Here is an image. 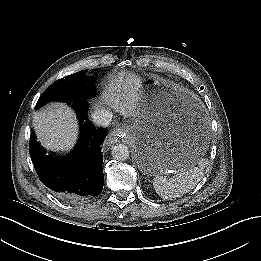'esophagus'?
Wrapping results in <instances>:
<instances>
[{
	"mask_svg": "<svg viewBox=\"0 0 261 261\" xmlns=\"http://www.w3.org/2000/svg\"><path fill=\"white\" fill-rule=\"evenodd\" d=\"M122 135H123V133L120 129L114 130L110 134V140L109 141L111 143H116L119 138L123 137Z\"/></svg>",
	"mask_w": 261,
	"mask_h": 261,
	"instance_id": "34e87169",
	"label": "esophagus"
}]
</instances>
